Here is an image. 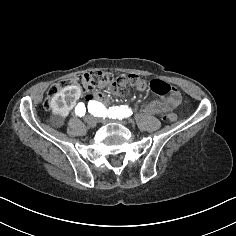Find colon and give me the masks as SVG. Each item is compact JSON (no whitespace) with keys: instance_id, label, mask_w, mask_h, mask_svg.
Wrapping results in <instances>:
<instances>
[{"instance_id":"1","label":"colon","mask_w":236,"mask_h":236,"mask_svg":"<svg viewBox=\"0 0 236 236\" xmlns=\"http://www.w3.org/2000/svg\"><path fill=\"white\" fill-rule=\"evenodd\" d=\"M70 85L79 86L86 93V98L88 100L95 98L99 93H104L110 88L119 91H125L130 88L144 90L148 83L135 74L120 75L115 77L105 71H91L73 79L62 80L59 83L53 84L48 89L47 98L44 101V107L49 109L51 106L52 97L63 88ZM149 87L154 93L160 96L168 95L170 98L179 99L177 90L164 81L151 80L149 82ZM163 119L167 122H174L176 121L177 116L174 113H169L165 114Z\"/></svg>"}]
</instances>
